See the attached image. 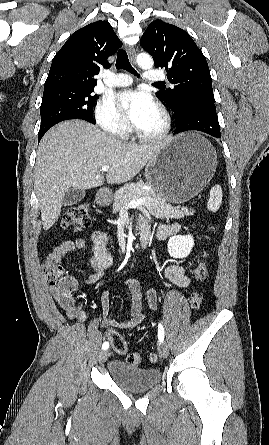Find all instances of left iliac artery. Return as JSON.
<instances>
[{
  "label": "left iliac artery",
  "mask_w": 269,
  "mask_h": 445,
  "mask_svg": "<svg viewBox=\"0 0 269 445\" xmlns=\"http://www.w3.org/2000/svg\"><path fill=\"white\" fill-rule=\"evenodd\" d=\"M158 339L160 342H162L164 339V328L161 323H159L158 325Z\"/></svg>",
  "instance_id": "44dca946"
}]
</instances>
